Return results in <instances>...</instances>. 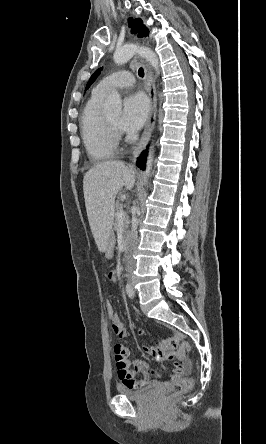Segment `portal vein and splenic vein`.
<instances>
[{"label": "portal vein and splenic vein", "mask_w": 266, "mask_h": 444, "mask_svg": "<svg viewBox=\"0 0 266 444\" xmlns=\"http://www.w3.org/2000/svg\"><path fill=\"white\" fill-rule=\"evenodd\" d=\"M125 216V213L123 210H120L117 214L118 220H122Z\"/></svg>", "instance_id": "18ae733b"}]
</instances>
